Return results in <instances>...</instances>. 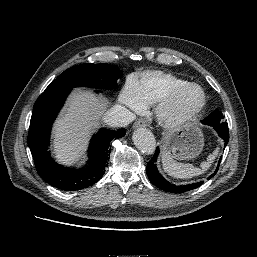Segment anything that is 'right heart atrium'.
Wrapping results in <instances>:
<instances>
[{
    "mask_svg": "<svg viewBox=\"0 0 257 257\" xmlns=\"http://www.w3.org/2000/svg\"><path fill=\"white\" fill-rule=\"evenodd\" d=\"M119 101L126 108L136 113L143 112L146 109V105L138 95L136 80L134 78H129L124 84L119 95Z\"/></svg>",
    "mask_w": 257,
    "mask_h": 257,
    "instance_id": "d8ad5b80",
    "label": "right heart atrium"
}]
</instances>
